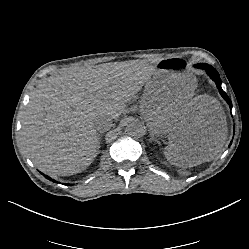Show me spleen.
<instances>
[{"instance_id": "obj_1", "label": "spleen", "mask_w": 249, "mask_h": 249, "mask_svg": "<svg viewBox=\"0 0 249 249\" xmlns=\"http://www.w3.org/2000/svg\"><path fill=\"white\" fill-rule=\"evenodd\" d=\"M171 150H172V148L166 147V148L164 149L163 154L166 156V158H167L168 160H175V157H174L172 154L168 155V152L171 151Z\"/></svg>"}]
</instances>
